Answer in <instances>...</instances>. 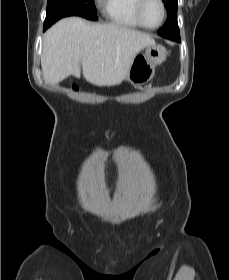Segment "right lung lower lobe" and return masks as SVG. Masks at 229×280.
I'll list each match as a JSON object with an SVG mask.
<instances>
[{"label":"right lung lower lobe","mask_w":229,"mask_h":280,"mask_svg":"<svg viewBox=\"0 0 229 280\" xmlns=\"http://www.w3.org/2000/svg\"><path fill=\"white\" fill-rule=\"evenodd\" d=\"M48 27L46 25H44V30H46Z\"/></svg>","instance_id":"98d812e1"}]
</instances>
